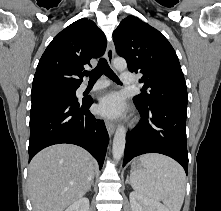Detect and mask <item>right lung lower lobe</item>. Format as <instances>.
Instances as JSON below:
<instances>
[{
    "label": "right lung lower lobe",
    "instance_id": "obj_1",
    "mask_svg": "<svg viewBox=\"0 0 221 211\" xmlns=\"http://www.w3.org/2000/svg\"><path fill=\"white\" fill-rule=\"evenodd\" d=\"M92 103V99L52 98L32 104L29 161L45 147L70 143L89 151L101 168L109 136L104 122L89 111Z\"/></svg>",
    "mask_w": 221,
    "mask_h": 211
}]
</instances>
